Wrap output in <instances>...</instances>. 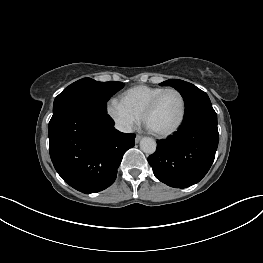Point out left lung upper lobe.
Masks as SVG:
<instances>
[{"mask_svg":"<svg viewBox=\"0 0 263 263\" xmlns=\"http://www.w3.org/2000/svg\"><path fill=\"white\" fill-rule=\"evenodd\" d=\"M160 85L172 86L180 92L185 102V116L201 108L212 106L208 95L191 83L170 79Z\"/></svg>","mask_w":263,"mask_h":263,"instance_id":"1","label":"left lung upper lobe"}]
</instances>
